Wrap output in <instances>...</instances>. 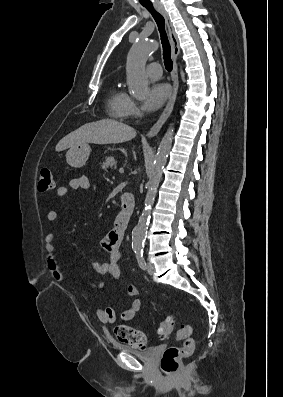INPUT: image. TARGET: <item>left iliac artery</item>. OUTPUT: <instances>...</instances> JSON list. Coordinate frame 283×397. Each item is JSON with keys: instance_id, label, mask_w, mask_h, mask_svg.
I'll list each match as a JSON object with an SVG mask.
<instances>
[{"instance_id": "obj_1", "label": "left iliac artery", "mask_w": 283, "mask_h": 397, "mask_svg": "<svg viewBox=\"0 0 283 397\" xmlns=\"http://www.w3.org/2000/svg\"><path fill=\"white\" fill-rule=\"evenodd\" d=\"M135 253H136V259H137V262H138L140 268L145 270L146 269V262H145L144 257H143V250L135 251Z\"/></svg>"}]
</instances>
